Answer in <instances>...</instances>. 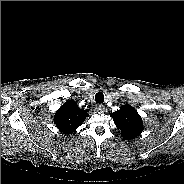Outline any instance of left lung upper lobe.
<instances>
[{"label": "left lung upper lobe", "mask_w": 184, "mask_h": 184, "mask_svg": "<svg viewBox=\"0 0 184 184\" xmlns=\"http://www.w3.org/2000/svg\"><path fill=\"white\" fill-rule=\"evenodd\" d=\"M111 117L124 139L130 140L141 134L143 122L138 112L129 104L111 113Z\"/></svg>", "instance_id": "1"}]
</instances>
